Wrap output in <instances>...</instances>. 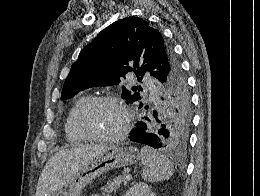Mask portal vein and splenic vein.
<instances>
[{
    "label": "portal vein and splenic vein",
    "instance_id": "18ae733b",
    "mask_svg": "<svg viewBox=\"0 0 260 196\" xmlns=\"http://www.w3.org/2000/svg\"><path fill=\"white\" fill-rule=\"evenodd\" d=\"M124 180H126V182H129V180H132L131 174H127V176H126V178H124Z\"/></svg>",
    "mask_w": 260,
    "mask_h": 196
}]
</instances>
